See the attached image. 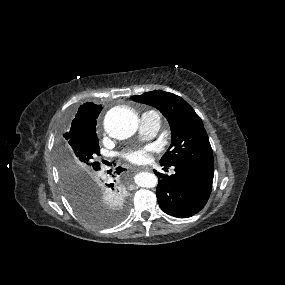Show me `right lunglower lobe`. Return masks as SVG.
I'll return each mask as SVG.
<instances>
[{
  "label": "right lung lower lobe",
  "instance_id": "98d812e1",
  "mask_svg": "<svg viewBox=\"0 0 285 285\" xmlns=\"http://www.w3.org/2000/svg\"><path fill=\"white\" fill-rule=\"evenodd\" d=\"M123 170H124L123 168L119 167V168H117L116 173L120 174V172H122ZM112 177L114 178V175H112ZM115 184H116L115 180H110L108 183H106V186L109 187L110 189L114 190Z\"/></svg>",
  "mask_w": 285,
  "mask_h": 285
}]
</instances>
